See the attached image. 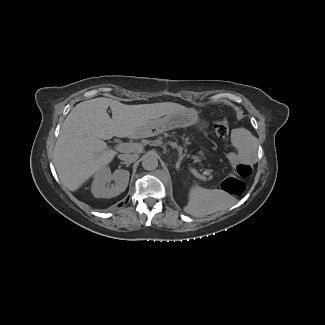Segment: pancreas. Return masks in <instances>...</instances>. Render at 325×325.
Here are the masks:
<instances>
[{
	"instance_id": "1",
	"label": "pancreas",
	"mask_w": 325,
	"mask_h": 325,
	"mask_svg": "<svg viewBox=\"0 0 325 325\" xmlns=\"http://www.w3.org/2000/svg\"><path fill=\"white\" fill-rule=\"evenodd\" d=\"M167 144L179 149L187 158L193 160L199 170L207 169L211 172L210 165L203 158L201 152L197 149V145L186 134L179 131H170L166 134Z\"/></svg>"
}]
</instances>
